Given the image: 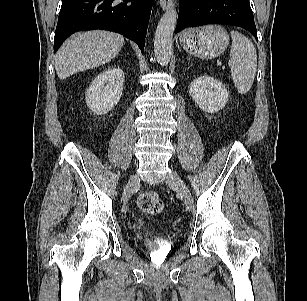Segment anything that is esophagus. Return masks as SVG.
Returning a JSON list of instances; mask_svg holds the SVG:
<instances>
[{
    "label": "esophagus",
    "mask_w": 307,
    "mask_h": 301,
    "mask_svg": "<svg viewBox=\"0 0 307 301\" xmlns=\"http://www.w3.org/2000/svg\"><path fill=\"white\" fill-rule=\"evenodd\" d=\"M159 2L163 10H168L173 6L172 0H160Z\"/></svg>",
    "instance_id": "34e87169"
}]
</instances>
